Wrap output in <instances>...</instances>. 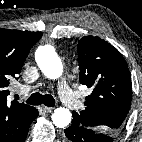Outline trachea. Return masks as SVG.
<instances>
[{
	"label": "trachea",
	"instance_id": "1",
	"mask_svg": "<svg viewBox=\"0 0 142 142\" xmlns=\"http://www.w3.org/2000/svg\"><path fill=\"white\" fill-rule=\"evenodd\" d=\"M26 102L30 105H41L44 104L48 107H53L55 105V100L53 96L49 94L42 95L40 93H33Z\"/></svg>",
	"mask_w": 142,
	"mask_h": 142
}]
</instances>
